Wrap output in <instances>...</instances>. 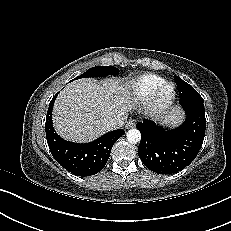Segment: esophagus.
I'll use <instances>...</instances> for the list:
<instances>
[{
  "instance_id": "esophagus-1",
  "label": "esophagus",
  "mask_w": 231,
  "mask_h": 231,
  "mask_svg": "<svg viewBox=\"0 0 231 231\" xmlns=\"http://www.w3.org/2000/svg\"><path fill=\"white\" fill-rule=\"evenodd\" d=\"M136 125V121L134 119H129L126 123V128L130 129L133 128Z\"/></svg>"
}]
</instances>
